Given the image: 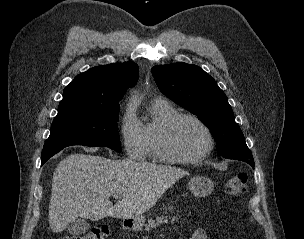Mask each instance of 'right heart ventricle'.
<instances>
[{
	"label": "right heart ventricle",
	"instance_id": "e07e8e85",
	"mask_svg": "<svg viewBox=\"0 0 304 239\" xmlns=\"http://www.w3.org/2000/svg\"><path fill=\"white\" fill-rule=\"evenodd\" d=\"M149 111L151 119L142 125L146 147L145 156L153 161L163 162L157 148L158 136L165 122L178 111L170 102L162 99L152 101Z\"/></svg>",
	"mask_w": 304,
	"mask_h": 239
}]
</instances>
